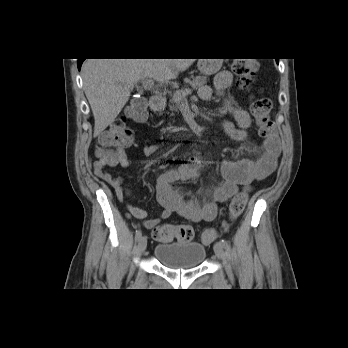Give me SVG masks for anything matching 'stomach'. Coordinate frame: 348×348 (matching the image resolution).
<instances>
[{"label":"stomach","mask_w":348,"mask_h":348,"mask_svg":"<svg viewBox=\"0 0 348 348\" xmlns=\"http://www.w3.org/2000/svg\"><path fill=\"white\" fill-rule=\"evenodd\" d=\"M222 63V59H199L197 66L203 75H212L220 70Z\"/></svg>","instance_id":"obj_1"}]
</instances>
